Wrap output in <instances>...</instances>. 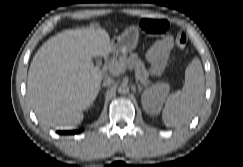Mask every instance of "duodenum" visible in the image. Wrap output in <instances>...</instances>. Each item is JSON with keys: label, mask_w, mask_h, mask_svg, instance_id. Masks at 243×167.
I'll list each match as a JSON object with an SVG mask.
<instances>
[{"label": "duodenum", "mask_w": 243, "mask_h": 167, "mask_svg": "<svg viewBox=\"0 0 243 167\" xmlns=\"http://www.w3.org/2000/svg\"><path fill=\"white\" fill-rule=\"evenodd\" d=\"M113 59V53H108L105 57L106 62L109 64Z\"/></svg>", "instance_id": "obj_1"}]
</instances>
